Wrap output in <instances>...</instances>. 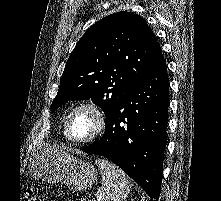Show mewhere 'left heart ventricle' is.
<instances>
[{
  "instance_id": "b2bd125f",
  "label": "left heart ventricle",
  "mask_w": 221,
  "mask_h": 201,
  "mask_svg": "<svg viewBox=\"0 0 221 201\" xmlns=\"http://www.w3.org/2000/svg\"><path fill=\"white\" fill-rule=\"evenodd\" d=\"M95 128L94 117L85 111L78 112L71 121V134L76 139L90 136Z\"/></svg>"
}]
</instances>
